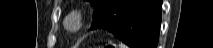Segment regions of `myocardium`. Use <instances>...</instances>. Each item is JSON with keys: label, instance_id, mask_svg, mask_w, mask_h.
I'll use <instances>...</instances> for the list:
<instances>
[{"label": "myocardium", "instance_id": "myocardium-1", "mask_svg": "<svg viewBox=\"0 0 213 48\" xmlns=\"http://www.w3.org/2000/svg\"><path fill=\"white\" fill-rule=\"evenodd\" d=\"M64 26L68 31L77 32L84 26V17L81 11L73 10L67 14Z\"/></svg>", "mask_w": 213, "mask_h": 48}]
</instances>
